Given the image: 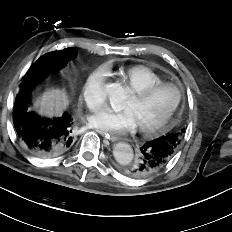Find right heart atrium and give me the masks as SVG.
<instances>
[{
	"instance_id": "obj_1",
	"label": "right heart atrium",
	"mask_w": 232,
	"mask_h": 232,
	"mask_svg": "<svg viewBox=\"0 0 232 232\" xmlns=\"http://www.w3.org/2000/svg\"><path fill=\"white\" fill-rule=\"evenodd\" d=\"M106 76L107 71L105 67H99L91 72L85 81L82 89V98L92 110L100 108L105 102L104 84Z\"/></svg>"
}]
</instances>
